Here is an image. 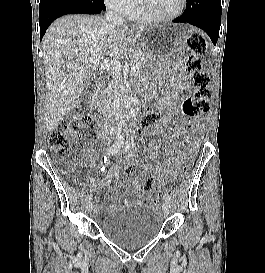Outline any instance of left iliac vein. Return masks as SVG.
Listing matches in <instances>:
<instances>
[{
	"instance_id": "1",
	"label": "left iliac vein",
	"mask_w": 265,
	"mask_h": 273,
	"mask_svg": "<svg viewBox=\"0 0 265 273\" xmlns=\"http://www.w3.org/2000/svg\"><path fill=\"white\" fill-rule=\"evenodd\" d=\"M163 211L166 215H168L171 211V204L169 201L165 200L163 203Z\"/></svg>"
}]
</instances>
